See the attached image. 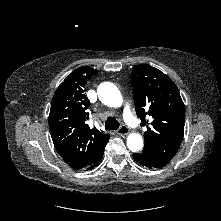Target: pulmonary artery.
Returning a JSON list of instances; mask_svg holds the SVG:
<instances>
[{"instance_id": "obj_1", "label": "pulmonary artery", "mask_w": 221, "mask_h": 221, "mask_svg": "<svg viewBox=\"0 0 221 221\" xmlns=\"http://www.w3.org/2000/svg\"><path fill=\"white\" fill-rule=\"evenodd\" d=\"M124 119L125 121L132 127L137 125V121L133 117L130 107L126 104L123 109Z\"/></svg>"}]
</instances>
